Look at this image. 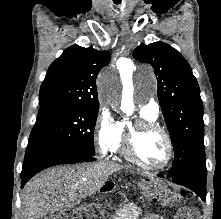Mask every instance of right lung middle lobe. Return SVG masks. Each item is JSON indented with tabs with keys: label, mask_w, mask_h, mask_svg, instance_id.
I'll return each instance as SVG.
<instances>
[{
	"label": "right lung middle lobe",
	"mask_w": 221,
	"mask_h": 219,
	"mask_svg": "<svg viewBox=\"0 0 221 219\" xmlns=\"http://www.w3.org/2000/svg\"><path fill=\"white\" fill-rule=\"evenodd\" d=\"M98 110L99 105L59 102L40 104L28 144L39 140L94 156V129Z\"/></svg>",
	"instance_id": "dd1d6c3e"
}]
</instances>
